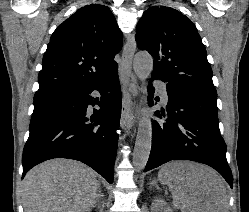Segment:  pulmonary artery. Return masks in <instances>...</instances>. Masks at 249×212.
Masks as SVG:
<instances>
[{
  "instance_id": "e3ab8cb5",
  "label": "pulmonary artery",
  "mask_w": 249,
  "mask_h": 212,
  "mask_svg": "<svg viewBox=\"0 0 249 212\" xmlns=\"http://www.w3.org/2000/svg\"><path fill=\"white\" fill-rule=\"evenodd\" d=\"M157 91L159 92L160 94V97L162 99V102L164 104H167L168 102V94H167V88H166V85L161 83L157 86Z\"/></svg>"
}]
</instances>
